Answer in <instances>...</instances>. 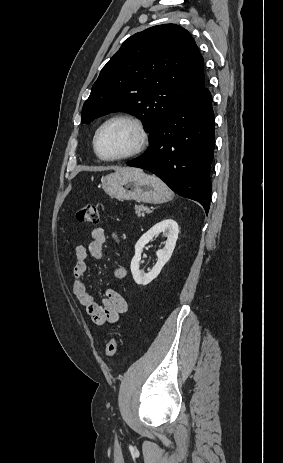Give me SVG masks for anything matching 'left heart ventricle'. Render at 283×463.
I'll return each instance as SVG.
<instances>
[{"label":"left heart ventricle","mask_w":283,"mask_h":463,"mask_svg":"<svg viewBox=\"0 0 283 463\" xmlns=\"http://www.w3.org/2000/svg\"><path fill=\"white\" fill-rule=\"evenodd\" d=\"M135 128L126 122H114L108 125L98 139V150L104 157H113L128 153L137 143Z\"/></svg>","instance_id":"left-heart-ventricle-1"}]
</instances>
